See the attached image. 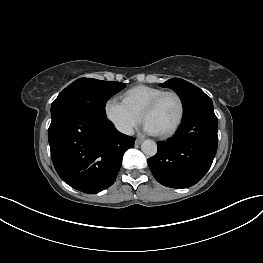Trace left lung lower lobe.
<instances>
[{
	"label": "left lung lower lobe",
	"instance_id": "0a47b994",
	"mask_svg": "<svg viewBox=\"0 0 263 263\" xmlns=\"http://www.w3.org/2000/svg\"><path fill=\"white\" fill-rule=\"evenodd\" d=\"M218 120L214 110L183 120L178 133L158 143L157 154L148 159L155 179L164 186L188 188L209 170L218 146Z\"/></svg>",
	"mask_w": 263,
	"mask_h": 263
}]
</instances>
